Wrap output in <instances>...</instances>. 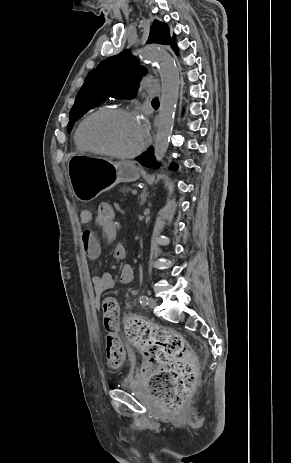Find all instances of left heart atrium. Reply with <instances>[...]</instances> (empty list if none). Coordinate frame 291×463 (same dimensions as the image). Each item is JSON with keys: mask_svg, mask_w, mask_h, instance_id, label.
<instances>
[{"mask_svg": "<svg viewBox=\"0 0 291 463\" xmlns=\"http://www.w3.org/2000/svg\"><path fill=\"white\" fill-rule=\"evenodd\" d=\"M137 122H138V125H139V127H140V129H141L143 135H144V136L147 135V132H148V125H147L146 120H145L144 118H139V119L137 120Z\"/></svg>", "mask_w": 291, "mask_h": 463, "instance_id": "left-heart-atrium-1", "label": "left heart atrium"}]
</instances>
